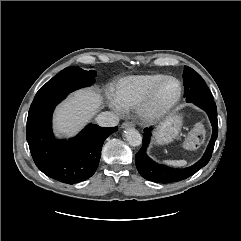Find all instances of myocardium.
Instances as JSON below:
<instances>
[{
    "label": "myocardium",
    "instance_id": "myocardium-1",
    "mask_svg": "<svg viewBox=\"0 0 241 241\" xmlns=\"http://www.w3.org/2000/svg\"><path fill=\"white\" fill-rule=\"evenodd\" d=\"M167 81H174L177 84V94L169 102L162 105H157L156 98L158 92L163 84ZM182 92V84L177 78L172 76L164 77L150 90L144 100L137 106L139 118L146 123H153L162 119L178 104L182 97Z\"/></svg>",
    "mask_w": 241,
    "mask_h": 241
}]
</instances>
